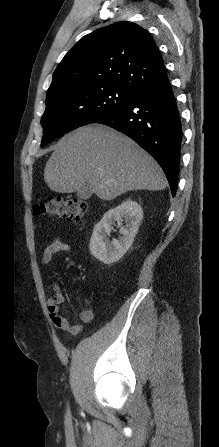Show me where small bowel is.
<instances>
[{
    "label": "small bowel",
    "instance_id": "small-bowel-1",
    "mask_svg": "<svg viewBox=\"0 0 219 447\" xmlns=\"http://www.w3.org/2000/svg\"><path fill=\"white\" fill-rule=\"evenodd\" d=\"M70 250L71 246L69 243L61 240L60 238H55L43 250L41 262L42 264H48L55 254L61 252L67 253ZM52 286L54 294L47 299V306L49 317L53 325L57 329L65 330L71 333H79L82 329V323H90L94 319V312L88 307L90 305V300H84L85 308L80 313L81 323H72L60 312V305L65 302L64 294L61 292L59 286L55 282L52 283Z\"/></svg>",
    "mask_w": 219,
    "mask_h": 447
}]
</instances>
